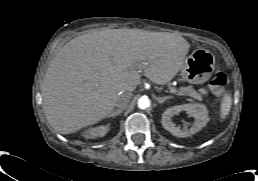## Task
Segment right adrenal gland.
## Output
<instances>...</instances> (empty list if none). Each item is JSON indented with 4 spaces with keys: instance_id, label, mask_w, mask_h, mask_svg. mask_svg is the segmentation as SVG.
Masks as SVG:
<instances>
[{
    "instance_id": "1",
    "label": "right adrenal gland",
    "mask_w": 258,
    "mask_h": 181,
    "mask_svg": "<svg viewBox=\"0 0 258 181\" xmlns=\"http://www.w3.org/2000/svg\"><path fill=\"white\" fill-rule=\"evenodd\" d=\"M122 112H123V110H121V109L113 110V111H111V113L107 116V118L115 117V116L121 114Z\"/></svg>"
}]
</instances>
